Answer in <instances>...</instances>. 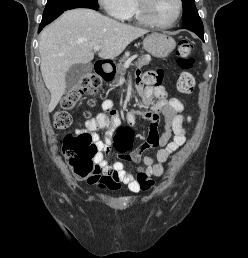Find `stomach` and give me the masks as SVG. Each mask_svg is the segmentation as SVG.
I'll return each instance as SVG.
<instances>
[{
    "label": "stomach",
    "instance_id": "obj_1",
    "mask_svg": "<svg viewBox=\"0 0 248 258\" xmlns=\"http://www.w3.org/2000/svg\"><path fill=\"white\" fill-rule=\"evenodd\" d=\"M144 49L157 58L167 57L176 47L175 40L162 33H152L143 41Z\"/></svg>",
    "mask_w": 248,
    "mask_h": 258
}]
</instances>
